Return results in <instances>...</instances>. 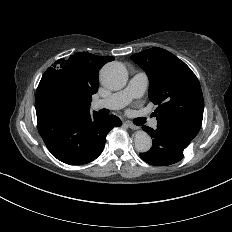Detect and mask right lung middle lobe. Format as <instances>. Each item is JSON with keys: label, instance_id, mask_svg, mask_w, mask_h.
<instances>
[{"label": "right lung middle lobe", "instance_id": "1", "mask_svg": "<svg viewBox=\"0 0 232 232\" xmlns=\"http://www.w3.org/2000/svg\"><path fill=\"white\" fill-rule=\"evenodd\" d=\"M44 92L55 104L73 110H88L89 102H85L77 89L66 78L57 74L47 76Z\"/></svg>", "mask_w": 232, "mask_h": 232}]
</instances>
